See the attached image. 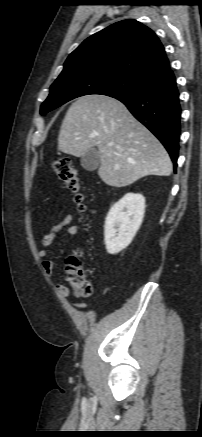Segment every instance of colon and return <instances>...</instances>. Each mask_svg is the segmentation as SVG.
Listing matches in <instances>:
<instances>
[{
    "label": "colon",
    "instance_id": "1",
    "mask_svg": "<svg viewBox=\"0 0 202 437\" xmlns=\"http://www.w3.org/2000/svg\"><path fill=\"white\" fill-rule=\"evenodd\" d=\"M52 169L65 187L73 193L78 210L84 213L87 210L85 194L72 161L66 157L56 159L52 162ZM65 279L76 296L88 297L92 294V286L82 266L81 252H77L66 260Z\"/></svg>",
    "mask_w": 202,
    "mask_h": 437
}]
</instances>
